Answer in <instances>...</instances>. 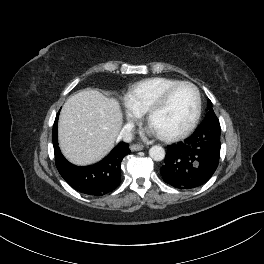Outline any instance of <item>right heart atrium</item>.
Segmentation results:
<instances>
[{
  "mask_svg": "<svg viewBox=\"0 0 264 264\" xmlns=\"http://www.w3.org/2000/svg\"><path fill=\"white\" fill-rule=\"evenodd\" d=\"M140 114H141V113H138V112H136V111L130 109V110H129V119L132 120V121H133V120H136V119L139 118Z\"/></svg>",
  "mask_w": 264,
  "mask_h": 264,
  "instance_id": "obj_1",
  "label": "right heart atrium"
}]
</instances>
